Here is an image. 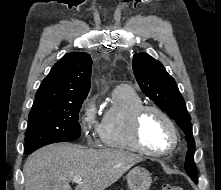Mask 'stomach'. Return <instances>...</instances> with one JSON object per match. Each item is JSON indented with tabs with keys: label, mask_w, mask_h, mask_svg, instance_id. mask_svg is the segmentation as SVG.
I'll list each match as a JSON object with an SVG mask.
<instances>
[{
	"label": "stomach",
	"mask_w": 221,
	"mask_h": 190,
	"mask_svg": "<svg viewBox=\"0 0 221 190\" xmlns=\"http://www.w3.org/2000/svg\"><path fill=\"white\" fill-rule=\"evenodd\" d=\"M127 184L130 190H149L152 177L148 170L137 166L127 174Z\"/></svg>",
	"instance_id": "0dacf381"
}]
</instances>
